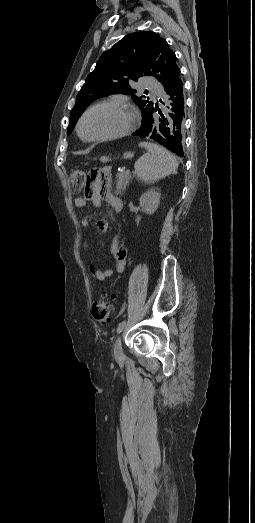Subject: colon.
<instances>
[{
	"instance_id": "obj_1",
	"label": "colon",
	"mask_w": 255,
	"mask_h": 523,
	"mask_svg": "<svg viewBox=\"0 0 255 523\" xmlns=\"http://www.w3.org/2000/svg\"><path fill=\"white\" fill-rule=\"evenodd\" d=\"M72 187L75 192L81 191L86 182L85 173L79 168H72L69 172ZM114 294L104 292L101 297L94 303L92 315L94 319L102 324H108L111 321Z\"/></svg>"
}]
</instances>
